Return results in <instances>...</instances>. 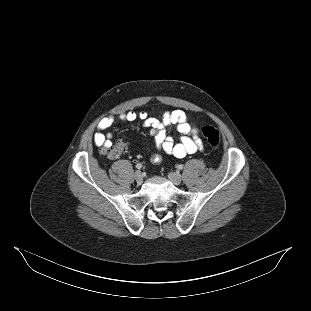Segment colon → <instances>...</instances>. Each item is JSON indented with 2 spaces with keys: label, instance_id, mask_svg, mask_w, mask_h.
Returning <instances> with one entry per match:
<instances>
[{
  "label": "colon",
  "instance_id": "colon-1",
  "mask_svg": "<svg viewBox=\"0 0 311 311\" xmlns=\"http://www.w3.org/2000/svg\"><path fill=\"white\" fill-rule=\"evenodd\" d=\"M203 137L208 144L217 148L220 144V132L217 128L210 125H205L201 128ZM128 143L125 138L118 139L114 144L108 145L102 149V153L109 159H115L121 156L127 149Z\"/></svg>",
  "mask_w": 311,
  "mask_h": 311
}]
</instances>
